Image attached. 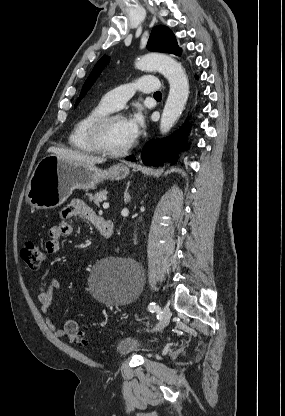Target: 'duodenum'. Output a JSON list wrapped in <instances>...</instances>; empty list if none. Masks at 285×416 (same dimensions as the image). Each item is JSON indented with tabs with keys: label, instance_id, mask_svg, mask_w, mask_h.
<instances>
[{
	"label": "duodenum",
	"instance_id": "410a0bca",
	"mask_svg": "<svg viewBox=\"0 0 285 416\" xmlns=\"http://www.w3.org/2000/svg\"><path fill=\"white\" fill-rule=\"evenodd\" d=\"M93 225L99 230L105 241H109L112 238L115 230L113 221L96 217L93 221Z\"/></svg>",
	"mask_w": 285,
	"mask_h": 416
}]
</instances>
